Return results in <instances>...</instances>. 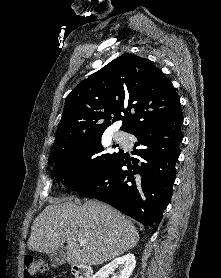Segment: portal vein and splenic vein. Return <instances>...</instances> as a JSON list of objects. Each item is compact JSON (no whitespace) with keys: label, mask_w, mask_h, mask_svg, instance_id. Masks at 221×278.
Listing matches in <instances>:
<instances>
[{"label":"portal vein and splenic vein","mask_w":221,"mask_h":278,"mask_svg":"<svg viewBox=\"0 0 221 278\" xmlns=\"http://www.w3.org/2000/svg\"><path fill=\"white\" fill-rule=\"evenodd\" d=\"M79 241H80V243H82V244L86 243V240H79Z\"/></svg>","instance_id":"18ae733b"}]
</instances>
